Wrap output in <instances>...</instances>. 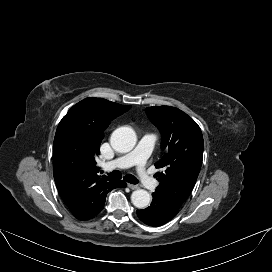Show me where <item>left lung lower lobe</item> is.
<instances>
[{
    "label": "left lung lower lobe",
    "instance_id": "0a47b994",
    "mask_svg": "<svg viewBox=\"0 0 272 272\" xmlns=\"http://www.w3.org/2000/svg\"><path fill=\"white\" fill-rule=\"evenodd\" d=\"M178 210L179 208L153 195L151 206L137 210V215L142 222L149 226H161L174 218Z\"/></svg>",
    "mask_w": 272,
    "mask_h": 272
}]
</instances>
